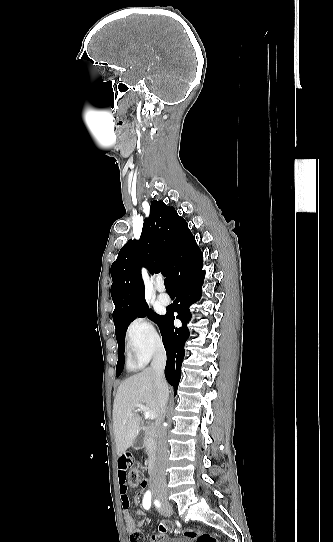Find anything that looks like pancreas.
<instances>
[{
    "mask_svg": "<svg viewBox=\"0 0 333 542\" xmlns=\"http://www.w3.org/2000/svg\"><path fill=\"white\" fill-rule=\"evenodd\" d=\"M152 444H154L153 438H150L148 446H152ZM151 454H153V452H151V450H148V456H151Z\"/></svg>",
    "mask_w": 333,
    "mask_h": 542,
    "instance_id": "obj_1",
    "label": "pancreas"
}]
</instances>
